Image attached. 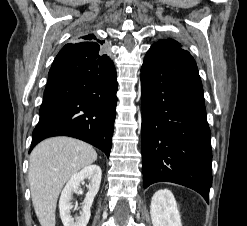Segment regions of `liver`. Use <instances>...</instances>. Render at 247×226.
<instances>
[{"instance_id": "1", "label": "liver", "mask_w": 247, "mask_h": 226, "mask_svg": "<svg viewBox=\"0 0 247 226\" xmlns=\"http://www.w3.org/2000/svg\"><path fill=\"white\" fill-rule=\"evenodd\" d=\"M94 148L70 137H53L39 143L29 157L28 179L36 216L41 226H55V211L65 183L95 162Z\"/></svg>"}]
</instances>
